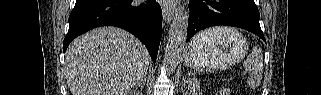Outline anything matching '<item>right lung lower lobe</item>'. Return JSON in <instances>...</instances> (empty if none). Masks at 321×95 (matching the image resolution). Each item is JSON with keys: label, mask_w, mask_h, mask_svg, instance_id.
Instances as JSON below:
<instances>
[{"label": "right lung lower lobe", "mask_w": 321, "mask_h": 95, "mask_svg": "<svg viewBox=\"0 0 321 95\" xmlns=\"http://www.w3.org/2000/svg\"><path fill=\"white\" fill-rule=\"evenodd\" d=\"M69 30L63 42L100 26H116L137 37L148 49L152 61L157 58L162 34V12L155 0L136 4L133 0H84L76 2L69 16Z\"/></svg>", "instance_id": "right-lung-lower-lobe-1"}]
</instances>
